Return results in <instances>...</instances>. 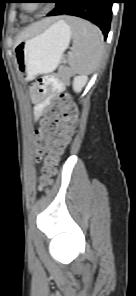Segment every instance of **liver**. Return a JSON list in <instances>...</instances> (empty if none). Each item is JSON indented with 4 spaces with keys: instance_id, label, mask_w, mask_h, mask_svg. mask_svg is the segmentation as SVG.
Instances as JSON below:
<instances>
[{
    "instance_id": "liver-1",
    "label": "liver",
    "mask_w": 136,
    "mask_h": 296,
    "mask_svg": "<svg viewBox=\"0 0 136 296\" xmlns=\"http://www.w3.org/2000/svg\"><path fill=\"white\" fill-rule=\"evenodd\" d=\"M51 22V19H45L43 21H40L38 23L32 24L29 27L25 28L19 35L18 40L21 41L30 35H34L38 33L41 29H43L46 25H48Z\"/></svg>"
}]
</instances>
